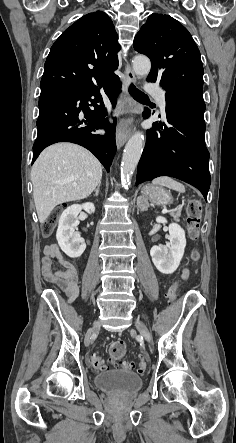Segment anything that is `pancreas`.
<instances>
[{
  "label": "pancreas",
  "instance_id": "1",
  "mask_svg": "<svg viewBox=\"0 0 236 443\" xmlns=\"http://www.w3.org/2000/svg\"><path fill=\"white\" fill-rule=\"evenodd\" d=\"M181 211H182V207L179 206L176 209H174L173 211L170 212V215L173 217V219L175 221H179V218L181 216Z\"/></svg>",
  "mask_w": 236,
  "mask_h": 443
}]
</instances>
